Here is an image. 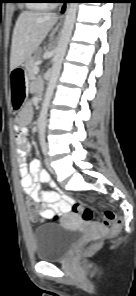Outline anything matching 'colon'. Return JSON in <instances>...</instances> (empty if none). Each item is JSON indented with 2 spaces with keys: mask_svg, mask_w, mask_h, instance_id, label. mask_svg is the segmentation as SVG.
I'll list each match as a JSON object with an SVG mask.
<instances>
[{
  "mask_svg": "<svg viewBox=\"0 0 136 296\" xmlns=\"http://www.w3.org/2000/svg\"><path fill=\"white\" fill-rule=\"evenodd\" d=\"M26 211L30 215H36L39 210V205L34 201H27L25 204ZM72 212L78 215L82 221L90 222L93 220V213L90 208L83 206L80 203L74 202L72 204ZM100 221L108 227H112L114 229H119L121 227L122 221L113 211H106L101 217ZM90 241V238L88 239Z\"/></svg>",
  "mask_w": 136,
  "mask_h": 296,
  "instance_id": "1",
  "label": "colon"
}]
</instances>
